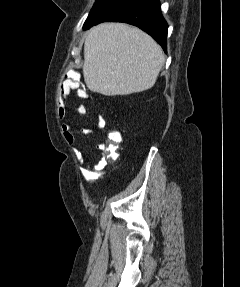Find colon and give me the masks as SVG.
<instances>
[{"mask_svg": "<svg viewBox=\"0 0 240 287\" xmlns=\"http://www.w3.org/2000/svg\"><path fill=\"white\" fill-rule=\"evenodd\" d=\"M122 135L120 132L118 131H112L109 133L108 135V141H109V146H108V151H109V156L111 158H115L117 156V149L119 147V145L122 143ZM106 164V162L104 161V163H100L101 167H104V165ZM100 172L99 171H85V176L87 177V179H93L97 176H99Z\"/></svg>", "mask_w": 240, "mask_h": 287, "instance_id": "colon-1", "label": "colon"}]
</instances>
